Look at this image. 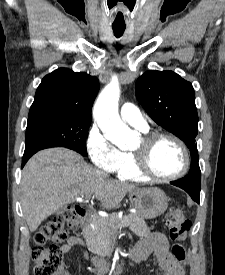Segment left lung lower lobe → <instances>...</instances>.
I'll list each match as a JSON object with an SVG mask.
<instances>
[{
    "instance_id": "0a47b994",
    "label": "left lung lower lobe",
    "mask_w": 225,
    "mask_h": 275,
    "mask_svg": "<svg viewBox=\"0 0 225 275\" xmlns=\"http://www.w3.org/2000/svg\"><path fill=\"white\" fill-rule=\"evenodd\" d=\"M171 184L184 189L194 201L199 203L201 175L189 173L184 178L171 182Z\"/></svg>"
}]
</instances>
